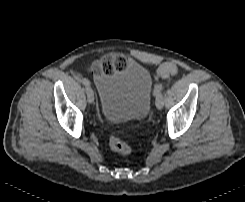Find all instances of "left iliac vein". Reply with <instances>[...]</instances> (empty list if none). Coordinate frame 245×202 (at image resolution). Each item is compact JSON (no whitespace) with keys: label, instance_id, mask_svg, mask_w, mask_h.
I'll return each instance as SVG.
<instances>
[{"label":"left iliac vein","instance_id":"1","mask_svg":"<svg viewBox=\"0 0 245 202\" xmlns=\"http://www.w3.org/2000/svg\"><path fill=\"white\" fill-rule=\"evenodd\" d=\"M163 106H164V100H163V96H161L156 99V107L157 109L161 110Z\"/></svg>","mask_w":245,"mask_h":202}]
</instances>
